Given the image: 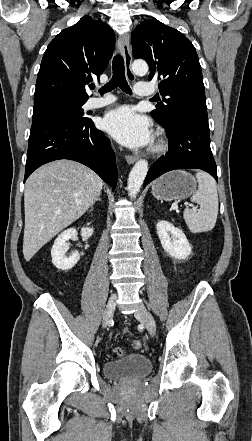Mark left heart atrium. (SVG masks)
Instances as JSON below:
<instances>
[{"instance_id":"left-heart-atrium-1","label":"left heart atrium","mask_w":252,"mask_h":441,"mask_svg":"<svg viewBox=\"0 0 252 441\" xmlns=\"http://www.w3.org/2000/svg\"><path fill=\"white\" fill-rule=\"evenodd\" d=\"M103 125L118 142L131 148L149 145L153 140L148 119L130 106L110 111L105 116Z\"/></svg>"}]
</instances>
